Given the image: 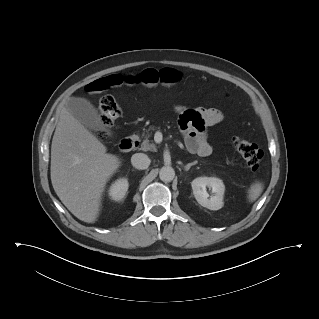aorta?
<instances>
[{"mask_svg": "<svg viewBox=\"0 0 319 319\" xmlns=\"http://www.w3.org/2000/svg\"><path fill=\"white\" fill-rule=\"evenodd\" d=\"M159 177L163 182H171L175 177V171L171 166H163L159 171Z\"/></svg>", "mask_w": 319, "mask_h": 319, "instance_id": "aorta-1", "label": "aorta"}]
</instances>
